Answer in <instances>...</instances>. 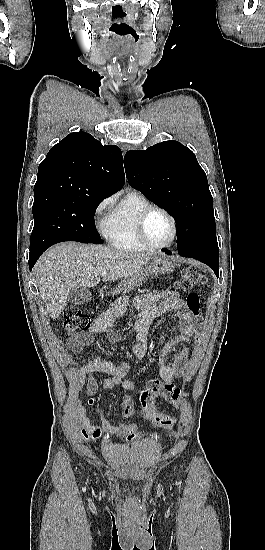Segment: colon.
<instances>
[{
  "label": "colon",
  "mask_w": 265,
  "mask_h": 550,
  "mask_svg": "<svg viewBox=\"0 0 265 550\" xmlns=\"http://www.w3.org/2000/svg\"><path fill=\"white\" fill-rule=\"evenodd\" d=\"M203 281L204 277L198 270L195 268H186L175 285L178 289L188 291ZM186 304L194 316L199 315L200 299L197 293L190 292L187 295ZM63 317V328L68 333L86 331L91 326L89 316L77 307H68L64 311ZM161 396L175 406L180 403V393L177 388L166 385L162 380L153 379L140 393L139 403L141 412L146 418L153 421L159 420L165 428L173 430L175 422L167 416H161L155 409V399ZM120 428L128 439H134L140 435V431L134 424L125 423Z\"/></svg>",
  "instance_id": "colon-1"
}]
</instances>
